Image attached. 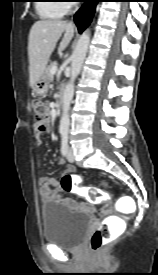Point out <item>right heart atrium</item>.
<instances>
[{"instance_id":"d8ad5b80","label":"right heart atrium","mask_w":158,"mask_h":275,"mask_svg":"<svg viewBox=\"0 0 158 275\" xmlns=\"http://www.w3.org/2000/svg\"><path fill=\"white\" fill-rule=\"evenodd\" d=\"M62 2H64L62 4L66 7V11H68L73 0H63Z\"/></svg>"}]
</instances>
